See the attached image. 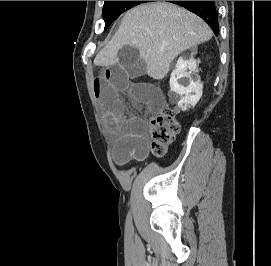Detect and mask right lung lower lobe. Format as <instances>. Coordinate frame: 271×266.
Instances as JSON below:
<instances>
[{"instance_id": "right-lung-lower-lobe-1", "label": "right lung lower lobe", "mask_w": 271, "mask_h": 266, "mask_svg": "<svg viewBox=\"0 0 271 266\" xmlns=\"http://www.w3.org/2000/svg\"><path fill=\"white\" fill-rule=\"evenodd\" d=\"M178 4L200 16L213 30L219 33L218 14L214 1H167Z\"/></svg>"}]
</instances>
